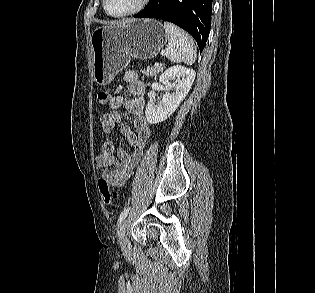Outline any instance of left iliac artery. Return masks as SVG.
Segmentation results:
<instances>
[{"label": "left iliac artery", "mask_w": 315, "mask_h": 293, "mask_svg": "<svg viewBox=\"0 0 315 293\" xmlns=\"http://www.w3.org/2000/svg\"><path fill=\"white\" fill-rule=\"evenodd\" d=\"M129 210H130V207H126V208L122 211V213L120 214L119 219H118V223H117L118 226L121 224V222L123 221V219L127 216V214L129 213Z\"/></svg>", "instance_id": "obj_1"}]
</instances>
